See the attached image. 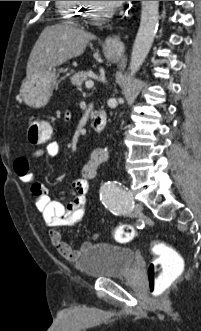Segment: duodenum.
<instances>
[{
    "mask_svg": "<svg viewBox=\"0 0 201 331\" xmlns=\"http://www.w3.org/2000/svg\"><path fill=\"white\" fill-rule=\"evenodd\" d=\"M107 123V115L103 110H97L94 113L92 127L94 131L101 132Z\"/></svg>",
    "mask_w": 201,
    "mask_h": 331,
    "instance_id": "duodenum-1",
    "label": "duodenum"
}]
</instances>
